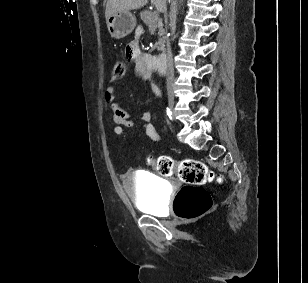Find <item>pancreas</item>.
Returning <instances> with one entry per match:
<instances>
[{
    "label": "pancreas",
    "instance_id": "pancreas-1",
    "mask_svg": "<svg viewBox=\"0 0 308 283\" xmlns=\"http://www.w3.org/2000/svg\"><path fill=\"white\" fill-rule=\"evenodd\" d=\"M140 17L144 21L146 25H148L150 28L157 27L159 29V32L161 34H164V29H163V24L162 20L159 18L157 12H152V11H141L140 12ZM165 42H166V37L162 36L160 41L158 42V50L164 51L165 50Z\"/></svg>",
    "mask_w": 308,
    "mask_h": 283
}]
</instances>
